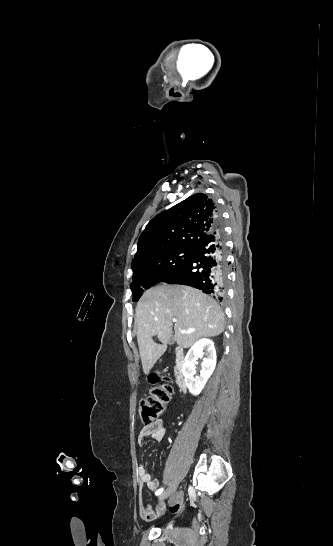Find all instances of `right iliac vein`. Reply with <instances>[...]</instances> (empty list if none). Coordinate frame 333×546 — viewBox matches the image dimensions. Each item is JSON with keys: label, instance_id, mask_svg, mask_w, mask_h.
Masks as SVG:
<instances>
[{"label": "right iliac vein", "instance_id": "obj_1", "mask_svg": "<svg viewBox=\"0 0 333 546\" xmlns=\"http://www.w3.org/2000/svg\"><path fill=\"white\" fill-rule=\"evenodd\" d=\"M176 487L177 485L176 484H172L169 488H167L164 493H162L160 496H159V500L160 501H163L165 500L166 498H168L175 490H176Z\"/></svg>", "mask_w": 333, "mask_h": 546}]
</instances>
